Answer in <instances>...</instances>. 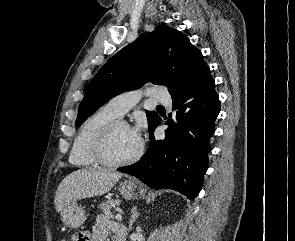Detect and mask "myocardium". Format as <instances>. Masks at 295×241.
Masks as SVG:
<instances>
[{"label": "myocardium", "mask_w": 295, "mask_h": 241, "mask_svg": "<svg viewBox=\"0 0 295 241\" xmlns=\"http://www.w3.org/2000/svg\"><path fill=\"white\" fill-rule=\"evenodd\" d=\"M119 126L129 127L128 123L122 119H116L110 122L101 132L94 143L93 154L98 163L107 167H122L137 162L143 155L144 143L140 141L139 148L134 155L123 160H113L108 155V147L115 132Z\"/></svg>", "instance_id": "obj_1"}]
</instances>
